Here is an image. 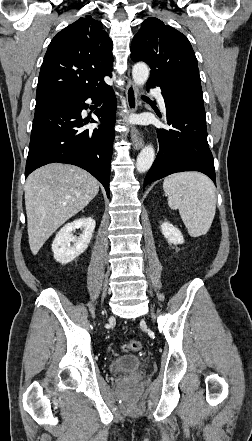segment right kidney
Masks as SVG:
<instances>
[{
  "mask_svg": "<svg viewBox=\"0 0 252 441\" xmlns=\"http://www.w3.org/2000/svg\"><path fill=\"white\" fill-rule=\"evenodd\" d=\"M95 225V220L89 217L74 220L63 226L52 243L55 260L67 264L82 254L88 248ZM76 229H83L79 237L73 235ZM71 242L74 243L73 246H70Z\"/></svg>",
  "mask_w": 252,
  "mask_h": 441,
  "instance_id": "ca27d5eb",
  "label": "right kidney"
}]
</instances>
